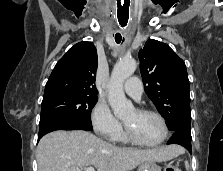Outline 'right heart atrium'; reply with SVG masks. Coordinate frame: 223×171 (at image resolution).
<instances>
[{
  "mask_svg": "<svg viewBox=\"0 0 223 171\" xmlns=\"http://www.w3.org/2000/svg\"><path fill=\"white\" fill-rule=\"evenodd\" d=\"M91 123L94 131L104 139L113 141L122 132L121 124L113 115L108 105L98 101L91 113Z\"/></svg>",
  "mask_w": 223,
  "mask_h": 171,
  "instance_id": "right-heart-atrium-1",
  "label": "right heart atrium"
}]
</instances>
